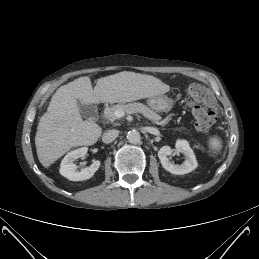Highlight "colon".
I'll list each match as a JSON object with an SVG mask.
<instances>
[{"label": "colon", "mask_w": 259, "mask_h": 259, "mask_svg": "<svg viewBox=\"0 0 259 259\" xmlns=\"http://www.w3.org/2000/svg\"><path fill=\"white\" fill-rule=\"evenodd\" d=\"M186 96L197 130L209 133L216 122L212 93L204 85L191 84L186 90Z\"/></svg>", "instance_id": "obj_1"}]
</instances>
